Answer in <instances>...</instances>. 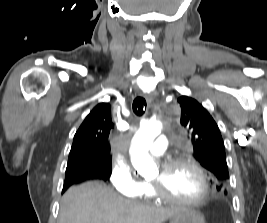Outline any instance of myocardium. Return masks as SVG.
Instances as JSON below:
<instances>
[{"label": "myocardium", "instance_id": "1", "mask_svg": "<svg viewBox=\"0 0 267 223\" xmlns=\"http://www.w3.org/2000/svg\"><path fill=\"white\" fill-rule=\"evenodd\" d=\"M181 165L190 166L193 169H195L196 172L199 174L203 182V187H204L202 195L193 200L179 199L167 193L164 190L161 182L150 181L149 185L151 187L154 197L161 201H165V202H169V203H173L177 205H182V206H189V207L198 206L204 203L210 194L209 180H208V176H207L205 169L200 164H198L196 161H194L191 158H187V157L170 159L162 163V165L160 166V171L162 172V174H167L172 169L178 166H181Z\"/></svg>", "mask_w": 267, "mask_h": 223}]
</instances>
